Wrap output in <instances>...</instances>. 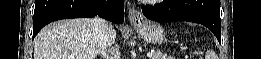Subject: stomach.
<instances>
[{"label": "stomach", "mask_w": 261, "mask_h": 59, "mask_svg": "<svg viewBox=\"0 0 261 59\" xmlns=\"http://www.w3.org/2000/svg\"><path fill=\"white\" fill-rule=\"evenodd\" d=\"M134 27L143 40L151 44H161L166 40L163 27L151 20H143Z\"/></svg>", "instance_id": "0dacf381"}]
</instances>
